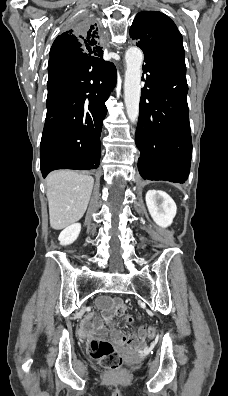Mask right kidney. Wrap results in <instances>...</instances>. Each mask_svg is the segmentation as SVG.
Masks as SVG:
<instances>
[{"instance_id":"obj_1","label":"right kidney","mask_w":228,"mask_h":396,"mask_svg":"<svg viewBox=\"0 0 228 396\" xmlns=\"http://www.w3.org/2000/svg\"><path fill=\"white\" fill-rule=\"evenodd\" d=\"M81 224L75 223L65 228L59 235L58 240L61 245L72 244L79 236Z\"/></svg>"}]
</instances>
